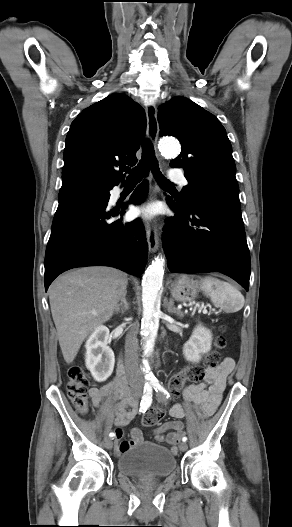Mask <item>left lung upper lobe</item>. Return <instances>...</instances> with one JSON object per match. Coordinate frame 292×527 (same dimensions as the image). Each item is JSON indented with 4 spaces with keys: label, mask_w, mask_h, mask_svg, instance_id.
Returning a JSON list of instances; mask_svg holds the SVG:
<instances>
[{
    "label": "left lung upper lobe",
    "mask_w": 292,
    "mask_h": 527,
    "mask_svg": "<svg viewBox=\"0 0 292 527\" xmlns=\"http://www.w3.org/2000/svg\"><path fill=\"white\" fill-rule=\"evenodd\" d=\"M158 109L160 136H175L182 146L170 165L183 168L189 182L179 196L184 206L202 200L240 203L232 147L219 120L183 96Z\"/></svg>",
    "instance_id": "obj_1"
}]
</instances>
